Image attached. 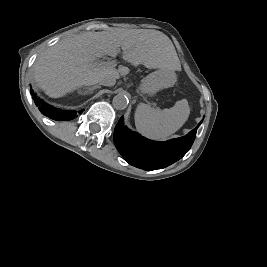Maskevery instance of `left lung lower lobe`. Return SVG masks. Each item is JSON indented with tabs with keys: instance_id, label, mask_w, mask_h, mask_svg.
<instances>
[{
	"instance_id": "obj_1",
	"label": "left lung lower lobe",
	"mask_w": 267,
	"mask_h": 267,
	"mask_svg": "<svg viewBox=\"0 0 267 267\" xmlns=\"http://www.w3.org/2000/svg\"><path fill=\"white\" fill-rule=\"evenodd\" d=\"M196 130L197 127L181 138L155 142L124 127L121 117L114 130V143L129 164L144 170H157L171 165L189 151Z\"/></svg>"
}]
</instances>
